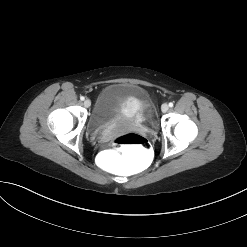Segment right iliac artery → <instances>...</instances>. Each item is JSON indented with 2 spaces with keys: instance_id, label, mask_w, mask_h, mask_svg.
Here are the masks:
<instances>
[{
  "instance_id": "1",
  "label": "right iliac artery",
  "mask_w": 247,
  "mask_h": 247,
  "mask_svg": "<svg viewBox=\"0 0 247 247\" xmlns=\"http://www.w3.org/2000/svg\"><path fill=\"white\" fill-rule=\"evenodd\" d=\"M85 98L83 96L80 97V100L83 101Z\"/></svg>"
}]
</instances>
